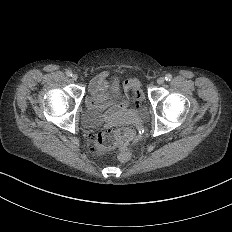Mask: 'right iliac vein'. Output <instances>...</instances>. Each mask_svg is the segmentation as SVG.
Here are the masks:
<instances>
[{
    "label": "right iliac vein",
    "mask_w": 232,
    "mask_h": 232,
    "mask_svg": "<svg viewBox=\"0 0 232 232\" xmlns=\"http://www.w3.org/2000/svg\"><path fill=\"white\" fill-rule=\"evenodd\" d=\"M72 80H73L74 82H77V81L79 80V77H78L77 75H73V76H72Z\"/></svg>",
    "instance_id": "1"
}]
</instances>
